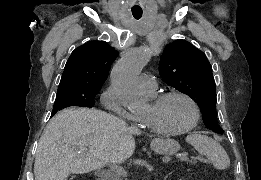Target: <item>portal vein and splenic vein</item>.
I'll list each match as a JSON object with an SVG mask.
<instances>
[{"mask_svg":"<svg viewBox=\"0 0 261 180\" xmlns=\"http://www.w3.org/2000/svg\"><path fill=\"white\" fill-rule=\"evenodd\" d=\"M177 155H180V160H178L179 163H184L185 161L189 160V157H187V152H183V154ZM115 174H117V176H122V178H127L128 172H126L124 168H115Z\"/></svg>","mask_w":261,"mask_h":180,"instance_id":"1","label":"portal vein and splenic vein"}]
</instances>
